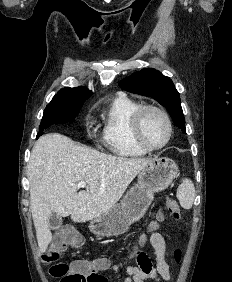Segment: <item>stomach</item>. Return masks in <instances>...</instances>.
Masks as SVG:
<instances>
[{
	"label": "stomach",
	"instance_id": "1",
	"mask_svg": "<svg viewBox=\"0 0 232 282\" xmlns=\"http://www.w3.org/2000/svg\"><path fill=\"white\" fill-rule=\"evenodd\" d=\"M178 173L176 163L167 157L153 159L137 176L134 185L121 204L90 221V231L98 237H115L125 233L131 224L140 220L154 198V193L165 190Z\"/></svg>",
	"mask_w": 232,
	"mask_h": 282
}]
</instances>
